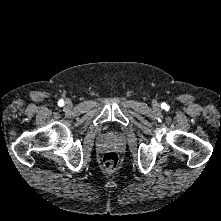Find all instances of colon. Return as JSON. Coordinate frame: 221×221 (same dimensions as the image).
Segmentation results:
<instances>
[{"label": "colon", "mask_w": 221, "mask_h": 221, "mask_svg": "<svg viewBox=\"0 0 221 221\" xmlns=\"http://www.w3.org/2000/svg\"><path fill=\"white\" fill-rule=\"evenodd\" d=\"M119 165V158L116 153L108 152L102 158L103 169L107 173H113Z\"/></svg>", "instance_id": "colon-1"}]
</instances>
